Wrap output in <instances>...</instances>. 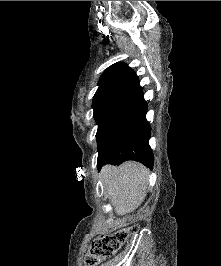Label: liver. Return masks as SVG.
I'll return each mask as SVG.
<instances>
[{
	"mask_svg": "<svg viewBox=\"0 0 221 266\" xmlns=\"http://www.w3.org/2000/svg\"><path fill=\"white\" fill-rule=\"evenodd\" d=\"M148 174L142 164L132 161L103 167L104 189L117 215L129 214L141 205L146 197Z\"/></svg>",
	"mask_w": 221,
	"mask_h": 266,
	"instance_id": "1",
	"label": "liver"
}]
</instances>
